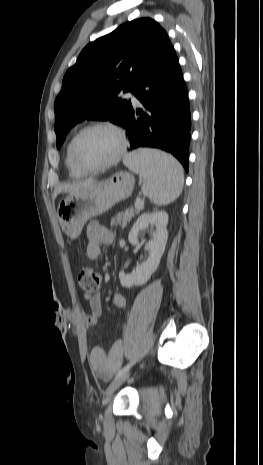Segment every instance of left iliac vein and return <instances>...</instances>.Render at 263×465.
<instances>
[{"label": "left iliac vein", "instance_id": "4c4485c4", "mask_svg": "<svg viewBox=\"0 0 263 465\" xmlns=\"http://www.w3.org/2000/svg\"><path fill=\"white\" fill-rule=\"evenodd\" d=\"M129 376L130 372H126L120 377L113 380L105 392L106 397H110L113 394V392L117 390L129 378Z\"/></svg>", "mask_w": 263, "mask_h": 465}]
</instances>
